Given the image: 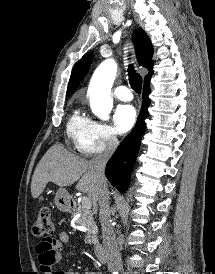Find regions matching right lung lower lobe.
Returning a JSON list of instances; mask_svg holds the SVG:
<instances>
[{"label": "right lung lower lobe", "instance_id": "98d812e1", "mask_svg": "<svg viewBox=\"0 0 215 274\" xmlns=\"http://www.w3.org/2000/svg\"><path fill=\"white\" fill-rule=\"evenodd\" d=\"M149 83L144 84L143 103L137 123L133 131L128 134L106 165V176L111 184L121 193H124L129 182L130 173L140 148L141 138L145 133L144 120L148 116L147 108L150 105Z\"/></svg>", "mask_w": 215, "mask_h": 274}]
</instances>
